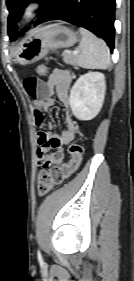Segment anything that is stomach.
Wrapping results in <instances>:
<instances>
[{
	"label": "stomach",
	"instance_id": "obj_1",
	"mask_svg": "<svg viewBox=\"0 0 134 281\" xmlns=\"http://www.w3.org/2000/svg\"><path fill=\"white\" fill-rule=\"evenodd\" d=\"M77 42V34L64 26L52 25L23 41L15 53V61L21 65L32 64L50 51L68 48Z\"/></svg>",
	"mask_w": 134,
	"mask_h": 281
}]
</instances>
